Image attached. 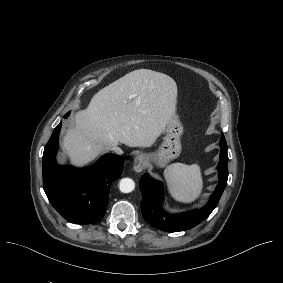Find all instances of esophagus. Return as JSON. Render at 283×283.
Wrapping results in <instances>:
<instances>
[{
    "label": "esophagus",
    "mask_w": 283,
    "mask_h": 283,
    "mask_svg": "<svg viewBox=\"0 0 283 283\" xmlns=\"http://www.w3.org/2000/svg\"><path fill=\"white\" fill-rule=\"evenodd\" d=\"M147 164V158L145 155L143 154H138L135 159H134V169L137 172H140L141 170H143V168L146 166Z\"/></svg>",
    "instance_id": "obj_1"
}]
</instances>
